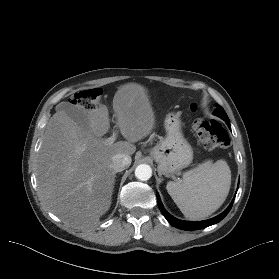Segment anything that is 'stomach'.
Segmentation results:
<instances>
[{
  "label": "stomach",
  "mask_w": 279,
  "mask_h": 279,
  "mask_svg": "<svg viewBox=\"0 0 279 279\" xmlns=\"http://www.w3.org/2000/svg\"><path fill=\"white\" fill-rule=\"evenodd\" d=\"M178 114L165 119L166 136L151 150L150 154L164 175L175 174L187 167L193 159V150L184 138Z\"/></svg>",
  "instance_id": "1"
}]
</instances>
